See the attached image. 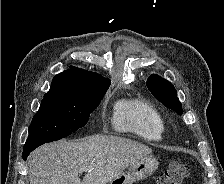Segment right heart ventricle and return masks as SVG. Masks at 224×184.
I'll return each mask as SVG.
<instances>
[{
  "mask_svg": "<svg viewBox=\"0 0 224 184\" xmlns=\"http://www.w3.org/2000/svg\"><path fill=\"white\" fill-rule=\"evenodd\" d=\"M112 122L117 131L130 132L150 142L161 141L166 130L162 114L153 105L138 98L117 102Z\"/></svg>",
  "mask_w": 224,
  "mask_h": 184,
  "instance_id": "e07e8e85",
  "label": "right heart ventricle"
}]
</instances>
